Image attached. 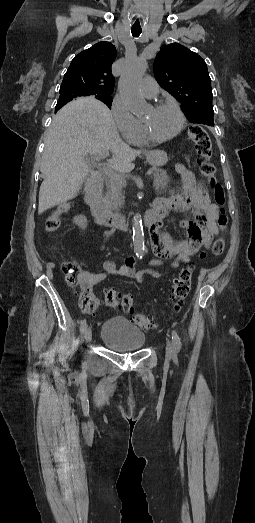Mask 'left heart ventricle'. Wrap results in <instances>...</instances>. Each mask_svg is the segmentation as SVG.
<instances>
[{"mask_svg":"<svg viewBox=\"0 0 255 523\" xmlns=\"http://www.w3.org/2000/svg\"><path fill=\"white\" fill-rule=\"evenodd\" d=\"M140 119L147 125L150 133L157 137L172 134L179 125V116L171 106H164L157 110L151 108Z\"/></svg>","mask_w":255,"mask_h":523,"instance_id":"b2bd125f","label":"left heart ventricle"}]
</instances>
